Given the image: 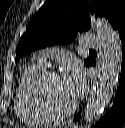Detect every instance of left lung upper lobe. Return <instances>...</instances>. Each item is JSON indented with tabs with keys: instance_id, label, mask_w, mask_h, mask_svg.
<instances>
[{
	"instance_id": "1",
	"label": "left lung upper lobe",
	"mask_w": 125,
	"mask_h": 128,
	"mask_svg": "<svg viewBox=\"0 0 125 128\" xmlns=\"http://www.w3.org/2000/svg\"><path fill=\"white\" fill-rule=\"evenodd\" d=\"M90 14L109 20L114 30L125 23V0H51L31 18L21 37L15 61L33 50L68 44L77 32L89 30ZM93 58L84 60L85 66Z\"/></svg>"
}]
</instances>
